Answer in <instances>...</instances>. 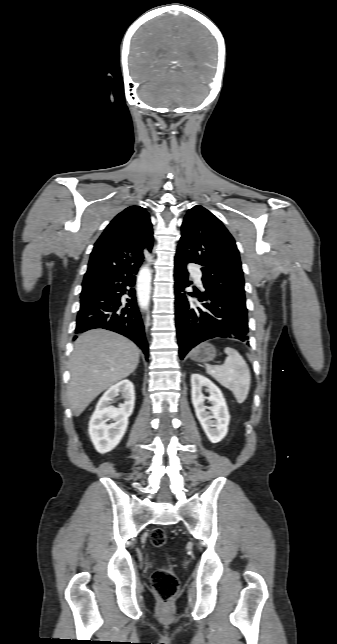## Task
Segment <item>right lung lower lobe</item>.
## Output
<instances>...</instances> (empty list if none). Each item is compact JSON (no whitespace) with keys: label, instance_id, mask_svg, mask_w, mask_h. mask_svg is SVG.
<instances>
[{"label":"right lung lower lobe","instance_id":"right-lung-lower-lobe-1","mask_svg":"<svg viewBox=\"0 0 337 644\" xmlns=\"http://www.w3.org/2000/svg\"><path fill=\"white\" fill-rule=\"evenodd\" d=\"M140 265H129L108 274L80 296L75 331L103 328L117 332L137 344L148 359L144 324L133 288Z\"/></svg>","mask_w":337,"mask_h":644}]
</instances>
